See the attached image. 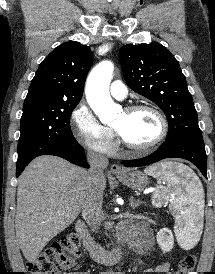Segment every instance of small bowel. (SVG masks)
Returning <instances> with one entry per match:
<instances>
[{"mask_svg": "<svg viewBox=\"0 0 215 274\" xmlns=\"http://www.w3.org/2000/svg\"><path fill=\"white\" fill-rule=\"evenodd\" d=\"M145 272H147V273L155 272V273H162V274H176L175 272L172 271L171 263L168 261L159 264L155 268L146 269ZM63 274H88V273H86V272H75V273L65 272ZM102 274H122V273L114 272V271H106V272H103Z\"/></svg>", "mask_w": 215, "mask_h": 274, "instance_id": "1", "label": "small bowel"}]
</instances>
